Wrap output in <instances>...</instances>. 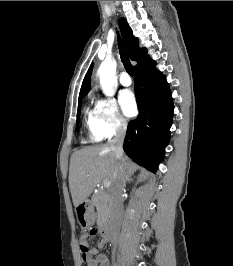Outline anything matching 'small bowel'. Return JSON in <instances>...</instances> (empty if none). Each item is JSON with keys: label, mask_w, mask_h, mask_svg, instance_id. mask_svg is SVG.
<instances>
[{"label": "small bowel", "mask_w": 233, "mask_h": 266, "mask_svg": "<svg viewBox=\"0 0 233 266\" xmlns=\"http://www.w3.org/2000/svg\"><path fill=\"white\" fill-rule=\"evenodd\" d=\"M81 239V243H82ZM107 242L104 239H101L97 247H89L88 257L83 258L86 262V266H109V260L105 254L99 253V249H102L106 246ZM88 245V244H87Z\"/></svg>", "instance_id": "small-bowel-1"}]
</instances>
